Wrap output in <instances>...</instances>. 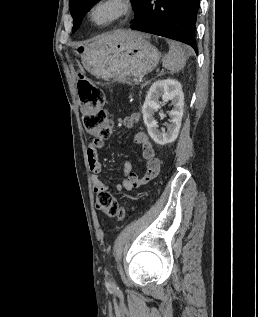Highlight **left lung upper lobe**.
I'll use <instances>...</instances> for the list:
<instances>
[{
    "label": "left lung upper lobe",
    "mask_w": 258,
    "mask_h": 317,
    "mask_svg": "<svg viewBox=\"0 0 258 317\" xmlns=\"http://www.w3.org/2000/svg\"><path fill=\"white\" fill-rule=\"evenodd\" d=\"M99 0H70L69 2V8L71 15L74 20L73 30L72 32H75L86 13L92 8L94 4H96ZM134 4V10L135 15L138 12V9L140 7V4L143 2V0H131Z\"/></svg>",
    "instance_id": "1"
}]
</instances>
